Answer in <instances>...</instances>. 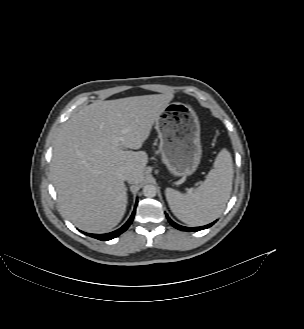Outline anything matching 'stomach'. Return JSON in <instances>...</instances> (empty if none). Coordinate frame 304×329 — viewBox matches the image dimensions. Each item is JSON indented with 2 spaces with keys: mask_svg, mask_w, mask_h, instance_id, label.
Wrapping results in <instances>:
<instances>
[{
  "mask_svg": "<svg viewBox=\"0 0 304 329\" xmlns=\"http://www.w3.org/2000/svg\"><path fill=\"white\" fill-rule=\"evenodd\" d=\"M155 128L168 171L176 177L193 174L202 154L200 123L195 111L184 103H169L155 121Z\"/></svg>",
  "mask_w": 304,
  "mask_h": 329,
  "instance_id": "obj_1",
  "label": "stomach"
}]
</instances>
